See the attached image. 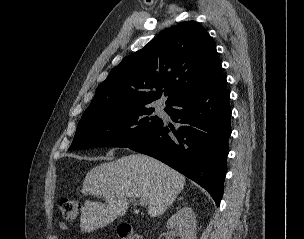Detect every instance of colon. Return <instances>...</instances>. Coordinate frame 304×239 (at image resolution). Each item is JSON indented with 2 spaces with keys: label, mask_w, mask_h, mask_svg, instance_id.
Here are the masks:
<instances>
[{
  "label": "colon",
  "mask_w": 304,
  "mask_h": 239,
  "mask_svg": "<svg viewBox=\"0 0 304 239\" xmlns=\"http://www.w3.org/2000/svg\"><path fill=\"white\" fill-rule=\"evenodd\" d=\"M58 207L66 220L76 219L81 208L78 200L67 197L59 199ZM117 234L120 239H141L140 236L132 232L131 226L128 224L120 225L117 229Z\"/></svg>",
  "instance_id": "colon-1"
}]
</instances>
